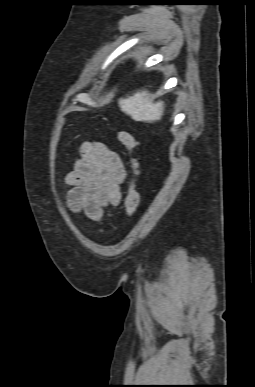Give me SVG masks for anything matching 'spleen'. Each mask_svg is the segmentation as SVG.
Wrapping results in <instances>:
<instances>
[{"mask_svg":"<svg viewBox=\"0 0 255 387\" xmlns=\"http://www.w3.org/2000/svg\"><path fill=\"white\" fill-rule=\"evenodd\" d=\"M122 112L131 116L135 121L154 122L163 115V101L154 102L148 91H138L132 96L119 100Z\"/></svg>","mask_w":255,"mask_h":387,"instance_id":"obj_1","label":"spleen"}]
</instances>
